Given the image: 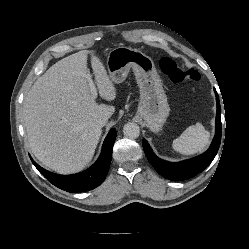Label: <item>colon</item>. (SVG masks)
Masks as SVG:
<instances>
[{"label": "colon", "instance_id": "obj_1", "mask_svg": "<svg viewBox=\"0 0 249 249\" xmlns=\"http://www.w3.org/2000/svg\"><path fill=\"white\" fill-rule=\"evenodd\" d=\"M160 69L177 84H188L199 80V74L194 69L184 68L183 65L169 57L160 60Z\"/></svg>", "mask_w": 249, "mask_h": 249}]
</instances>
